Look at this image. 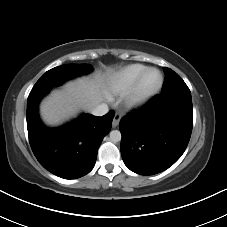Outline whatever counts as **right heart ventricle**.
Returning a JSON list of instances; mask_svg holds the SVG:
<instances>
[{
    "instance_id": "right-heart-ventricle-1",
    "label": "right heart ventricle",
    "mask_w": 227,
    "mask_h": 227,
    "mask_svg": "<svg viewBox=\"0 0 227 227\" xmlns=\"http://www.w3.org/2000/svg\"><path fill=\"white\" fill-rule=\"evenodd\" d=\"M146 68L142 64H130L113 73L108 80L109 93L111 95L127 94Z\"/></svg>"
}]
</instances>
